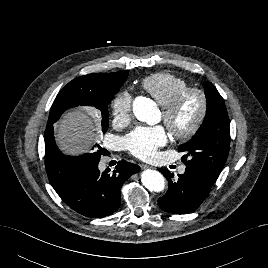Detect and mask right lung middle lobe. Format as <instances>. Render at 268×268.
Segmentation results:
<instances>
[{
  "label": "right lung middle lobe",
  "mask_w": 268,
  "mask_h": 268,
  "mask_svg": "<svg viewBox=\"0 0 268 268\" xmlns=\"http://www.w3.org/2000/svg\"><path fill=\"white\" fill-rule=\"evenodd\" d=\"M100 103L95 105L102 113V131L105 133L108 128V104ZM61 100H54L50 114L61 108ZM100 157L99 152H90L81 156H65L55 144L54 135L45 139V166L49 181L58 195L63 194L76 180L78 174L91 163Z\"/></svg>",
  "instance_id": "1"
}]
</instances>
